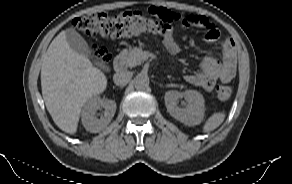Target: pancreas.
Wrapping results in <instances>:
<instances>
[{
	"mask_svg": "<svg viewBox=\"0 0 292 184\" xmlns=\"http://www.w3.org/2000/svg\"><path fill=\"white\" fill-rule=\"evenodd\" d=\"M119 56L126 68H132L144 62L142 49L136 47L121 51Z\"/></svg>",
	"mask_w": 292,
	"mask_h": 184,
	"instance_id": "obj_1",
	"label": "pancreas"
}]
</instances>
